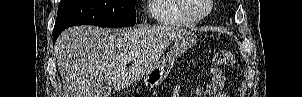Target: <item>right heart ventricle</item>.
Returning a JSON list of instances; mask_svg holds the SVG:
<instances>
[{"label": "right heart ventricle", "mask_w": 302, "mask_h": 97, "mask_svg": "<svg viewBox=\"0 0 302 97\" xmlns=\"http://www.w3.org/2000/svg\"><path fill=\"white\" fill-rule=\"evenodd\" d=\"M149 12L160 25L189 27L196 23L181 10L179 0H151Z\"/></svg>", "instance_id": "obj_1"}]
</instances>
